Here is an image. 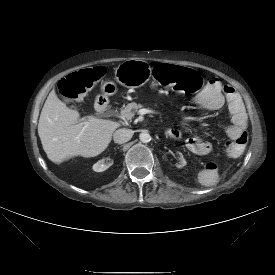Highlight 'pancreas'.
<instances>
[{
	"label": "pancreas",
	"mask_w": 275,
	"mask_h": 275,
	"mask_svg": "<svg viewBox=\"0 0 275 275\" xmlns=\"http://www.w3.org/2000/svg\"><path fill=\"white\" fill-rule=\"evenodd\" d=\"M142 107V104L132 102L127 104L124 108H122L120 114L127 120H131L135 113Z\"/></svg>",
	"instance_id": "pancreas-1"
}]
</instances>
